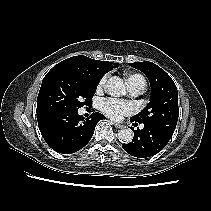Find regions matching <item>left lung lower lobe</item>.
I'll use <instances>...</instances> for the list:
<instances>
[{"mask_svg": "<svg viewBox=\"0 0 211 211\" xmlns=\"http://www.w3.org/2000/svg\"><path fill=\"white\" fill-rule=\"evenodd\" d=\"M133 125L138 124L134 123ZM131 129L134 132V138L132 142L123 144L122 147L127 153L138 158L156 155L167 145L172 137V134L152 125L144 124L143 129Z\"/></svg>", "mask_w": 211, "mask_h": 211, "instance_id": "0a47b994", "label": "left lung lower lobe"}]
</instances>
